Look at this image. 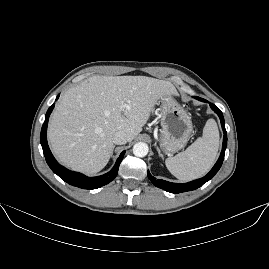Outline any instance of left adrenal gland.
<instances>
[{
    "mask_svg": "<svg viewBox=\"0 0 269 269\" xmlns=\"http://www.w3.org/2000/svg\"><path fill=\"white\" fill-rule=\"evenodd\" d=\"M156 149H157V151H158V155H159V157H161V158L164 160V157H163V155L161 154L160 149H159L158 147H157Z\"/></svg>",
    "mask_w": 269,
    "mask_h": 269,
    "instance_id": "obj_1",
    "label": "left adrenal gland"
}]
</instances>
